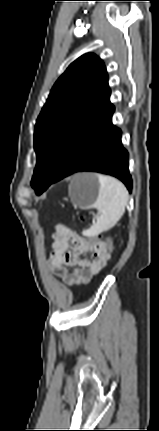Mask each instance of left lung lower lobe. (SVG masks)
I'll return each mask as SVG.
<instances>
[{
  "instance_id": "0a47b994",
  "label": "left lung lower lobe",
  "mask_w": 159,
  "mask_h": 431,
  "mask_svg": "<svg viewBox=\"0 0 159 431\" xmlns=\"http://www.w3.org/2000/svg\"><path fill=\"white\" fill-rule=\"evenodd\" d=\"M114 110L111 105L77 133L51 184L76 172L93 171L117 177L132 191L128 152L121 143V130L112 124Z\"/></svg>"
}]
</instances>
